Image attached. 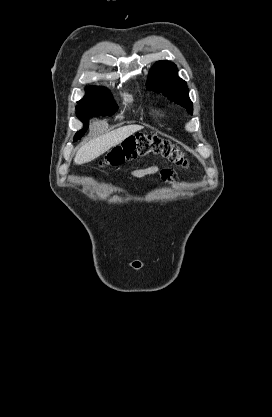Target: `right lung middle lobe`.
Listing matches in <instances>:
<instances>
[{
	"label": "right lung middle lobe",
	"mask_w": 272,
	"mask_h": 417,
	"mask_svg": "<svg viewBox=\"0 0 272 417\" xmlns=\"http://www.w3.org/2000/svg\"><path fill=\"white\" fill-rule=\"evenodd\" d=\"M117 105L111 95L96 94L88 96L76 107L77 117L84 123L83 129L78 131L74 141L81 138L89 127L88 119L94 116H109L117 110Z\"/></svg>",
	"instance_id": "right-lung-middle-lobe-1"
}]
</instances>
